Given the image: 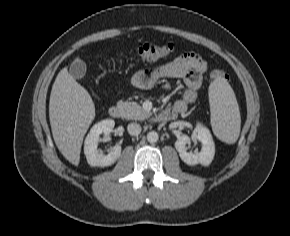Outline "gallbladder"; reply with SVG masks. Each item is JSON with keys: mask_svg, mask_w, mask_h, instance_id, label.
Returning <instances> with one entry per match:
<instances>
[{"mask_svg": "<svg viewBox=\"0 0 290 236\" xmlns=\"http://www.w3.org/2000/svg\"><path fill=\"white\" fill-rule=\"evenodd\" d=\"M69 72L75 79H82L86 73V64L81 60L74 61L70 65Z\"/></svg>", "mask_w": 290, "mask_h": 236, "instance_id": "gallbladder-1", "label": "gallbladder"}]
</instances>
